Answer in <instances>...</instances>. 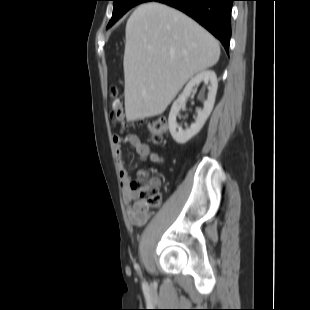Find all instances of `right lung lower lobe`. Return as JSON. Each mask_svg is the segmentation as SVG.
<instances>
[{
  "instance_id": "right-lung-lower-lobe-1",
  "label": "right lung lower lobe",
  "mask_w": 310,
  "mask_h": 310,
  "mask_svg": "<svg viewBox=\"0 0 310 310\" xmlns=\"http://www.w3.org/2000/svg\"><path fill=\"white\" fill-rule=\"evenodd\" d=\"M172 6L195 19L229 51L231 9L235 0H148Z\"/></svg>"
}]
</instances>
